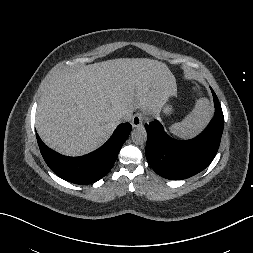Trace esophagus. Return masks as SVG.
<instances>
[{
    "instance_id": "34e87169",
    "label": "esophagus",
    "mask_w": 253,
    "mask_h": 253,
    "mask_svg": "<svg viewBox=\"0 0 253 253\" xmlns=\"http://www.w3.org/2000/svg\"><path fill=\"white\" fill-rule=\"evenodd\" d=\"M142 121H143V117L141 113H136L132 119H131V124L132 126L135 127H139L142 125Z\"/></svg>"
}]
</instances>
